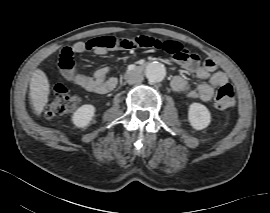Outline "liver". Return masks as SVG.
Listing matches in <instances>:
<instances>
[{
  "instance_id": "1",
  "label": "liver",
  "mask_w": 270,
  "mask_h": 213,
  "mask_svg": "<svg viewBox=\"0 0 270 213\" xmlns=\"http://www.w3.org/2000/svg\"><path fill=\"white\" fill-rule=\"evenodd\" d=\"M50 86L46 74L41 69H36L30 80V97L32 105L38 115L49 101Z\"/></svg>"
}]
</instances>
